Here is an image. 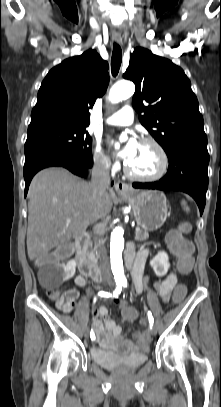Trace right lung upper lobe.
Here are the masks:
<instances>
[{
	"label": "right lung upper lobe",
	"mask_w": 221,
	"mask_h": 407,
	"mask_svg": "<svg viewBox=\"0 0 221 407\" xmlns=\"http://www.w3.org/2000/svg\"><path fill=\"white\" fill-rule=\"evenodd\" d=\"M108 83V63L95 50L64 60L43 80L28 128L52 124L87 127L89 109Z\"/></svg>",
	"instance_id": "1"
}]
</instances>
